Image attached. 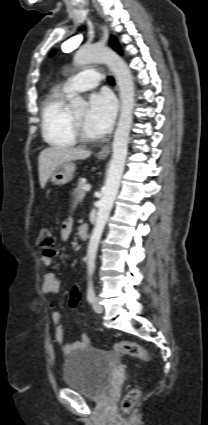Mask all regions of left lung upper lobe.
Listing matches in <instances>:
<instances>
[{
  "label": "left lung upper lobe",
  "mask_w": 208,
  "mask_h": 425,
  "mask_svg": "<svg viewBox=\"0 0 208 425\" xmlns=\"http://www.w3.org/2000/svg\"><path fill=\"white\" fill-rule=\"evenodd\" d=\"M110 45H111V46H112L115 50L120 51L119 44H118V42H117V40H116V38H115V37H112V38H111ZM53 53H54V52H52V54H53Z\"/></svg>",
  "instance_id": "obj_1"
}]
</instances>
